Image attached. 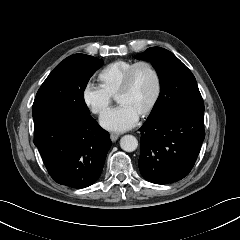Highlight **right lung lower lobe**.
<instances>
[{
	"mask_svg": "<svg viewBox=\"0 0 240 240\" xmlns=\"http://www.w3.org/2000/svg\"><path fill=\"white\" fill-rule=\"evenodd\" d=\"M34 144L54 181L81 189L95 183L112 142L90 116L58 109L33 111Z\"/></svg>",
	"mask_w": 240,
	"mask_h": 240,
	"instance_id": "right-lung-lower-lobe-1",
	"label": "right lung lower lobe"
}]
</instances>
